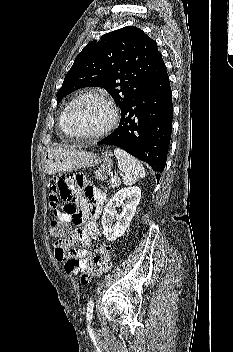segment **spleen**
<instances>
[{
    "instance_id": "spleen-1",
    "label": "spleen",
    "mask_w": 233,
    "mask_h": 352,
    "mask_svg": "<svg viewBox=\"0 0 233 352\" xmlns=\"http://www.w3.org/2000/svg\"><path fill=\"white\" fill-rule=\"evenodd\" d=\"M114 155L125 185H133L139 178L145 177V168L136 158L120 148H115Z\"/></svg>"
}]
</instances>
